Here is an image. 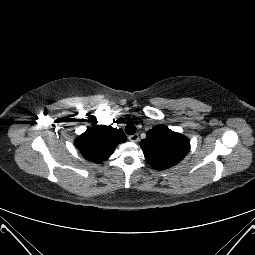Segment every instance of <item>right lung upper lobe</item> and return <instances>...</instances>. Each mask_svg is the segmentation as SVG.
<instances>
[{"mask_svg":"<svg viewBox=\"0 0 255 255\" xmlns=\"http://www.w3.org/2000/svg\"><path fill=\"white\" fill-rule=\"evenodd\" d=\"M121 129L96 125L87 129L75 140V145L83 157L91 162L107 160L116 146L126 141Z\"/></svg>","mask_w":255,"mask_h":255,"instance_id":"obj_1","label":"right lung upper lobe"}]
</instances>
